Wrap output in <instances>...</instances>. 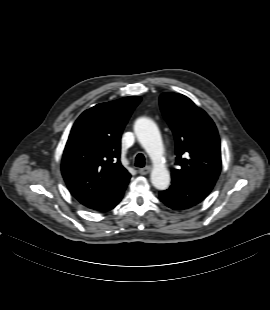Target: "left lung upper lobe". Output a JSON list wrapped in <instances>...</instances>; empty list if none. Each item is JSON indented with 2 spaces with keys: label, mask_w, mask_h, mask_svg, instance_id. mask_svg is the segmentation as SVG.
<instances>
[{
  "label": "left lung upper lobe",
  "mask_w": 270,
  "mask_h": 310,
  "mask_svg": "<svg viewBox=\"0 0 270 310\" xmlns=\"http://www.w3.org/2000/svg\"><path fill=\"white\" fill-rule=\"evenodd\" d=\"M160 107L176 141L172 178L213 188L221 169L220 139L211 118L188 97L166 92Z\"/></svg>",
  "instance_id": "1"
}]
</instances>
